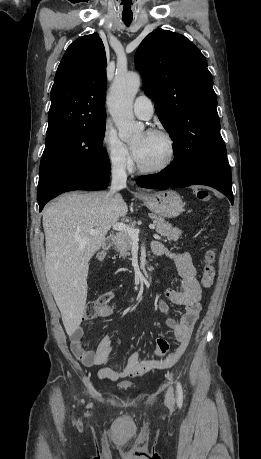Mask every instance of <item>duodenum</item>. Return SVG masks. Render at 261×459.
Instances as JSON below:
<instances>
[{
    "label": "duodenum",
    "instance_id": "duodenum-1",
    "mask_svg": "<svg viewBox=\"0 0 261 459\" xmlns=\"http://www.w3.org/2000/svg\"><path fill=\"white\" fill-rule=\"evenodd\" d=\"M114 240H115L114 235L107 236L102 244L103 249H108L110 246H112ZM151 250L154 254L159 255L161 251L160 245L157 242H153L151 245Z\"/></svg>",
    "mask_w": 261,
    "mask_h": 459
}]
</instances>
